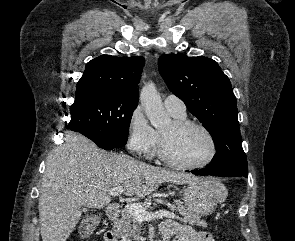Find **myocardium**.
Returning <instances> with one entry per match:
<instances>
[{
	"label": "myocardium",
	"mask_w": 295,
	"mask_h": 241,
	"mask_svg": "<svg viewBox=\"0 0 295 241\" xmlns=\"http://www.w3.org/2000/svg\"><path fill=\"white\" fill-rule=\"evenodd\" d=\"M172 124L174 129L176 130H182L188 127H195L199 129L200 131H202L210 142L211 151L209 156L202 162L195 163V164L182 163L180 161L175 160L169 155L168 149H167L166 137L162 133H160L158 138V156L163 162L180 169L198 170L210 165L215 160L218 153L217 141L214 135L212 134V132L205 125L197 121L188 120V119H184V120L175 119L172 122Z\"/></svg>",
	"instance_id": "f54148a6"
}]
</instances>
